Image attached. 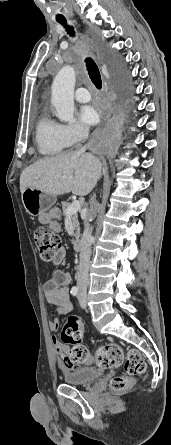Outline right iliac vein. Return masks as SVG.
<instances>
[{"label": "right iliac vein", "mask_w": 171, "mask_h": 445, "mask_svg": "<svg viewBox=\"0 0 171 445\" xmlns=\"http://www.w3.org/2000/svg\"><path fill=\"white\" fill-rule=\"evenodd\" d=\"M82 294V296L86 299V295L84 294V293H81Z\"/></svg>", "instance_id": "1"}]
</instances>
